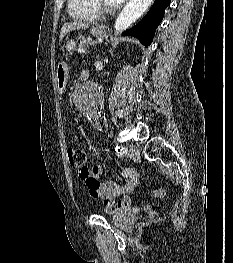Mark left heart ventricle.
Listing matches in <instances>:
<instances>
[{
    "mask_svg": "<svg viewBox=\"0 0 233 263\" xmlns=\"http://www.w3.org/2000/svg\"><path fill=\"white\" fill-rule=\"evenodd\" d=\"M103 2L109 6L115 5L113 0H103Z\"/></svg>",
    "mask_w": 233,
    "mask_h": 263,
    "instance_id": "1",
    "label": "left heart ventricle"
}]
</instances>
